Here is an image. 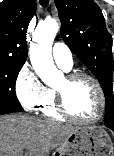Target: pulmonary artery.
Instances as JSON below:
<instances>
[{
    "instance_id": "pulmonary-artery-1",
    "label": "pulmonary artery",
    "mask_w": 114,
    "mask_h": 156,
    "mask_svg": "<svg viewBox=\"0 0 114 156\" xmlns=\"http://www.w3.org/2000/svg\"><path fill=\"white\" fill-rule=\"evenodd\" d=\"M52 55L55 63L63 70L68 71L72 68V53L64 43H55L53 46Z\"/></svg>"
}]
</instances>
